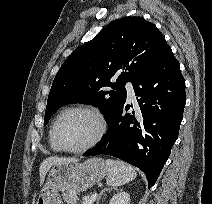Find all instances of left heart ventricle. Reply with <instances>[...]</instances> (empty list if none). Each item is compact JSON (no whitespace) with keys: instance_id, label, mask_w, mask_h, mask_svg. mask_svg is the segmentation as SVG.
Segmentation results:
<instances>
[{"instance_id":"left-heart-ventricle-1","label":"left heart ventricle","mask_w":212,"mask_h":204,"mask_svg":"<svg viewBox=\"0 0 212 204\" xmlns=\"http://www.w3.org/2000/svg\"><path fill=\"white\" fill-rule=\"evenodd\" d=\"M97 125L92 116L83 112L66 114L58 125L60 141L69 148L87 144L95 135Z\"/></svg>"}]
</instances>
